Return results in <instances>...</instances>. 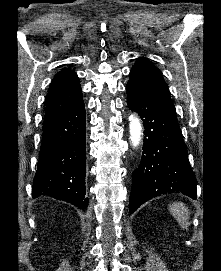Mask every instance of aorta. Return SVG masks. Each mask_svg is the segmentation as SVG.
<instances>
[{
  "label": "aorta",
  "mask_w": 221,
  "mask_h": 271,
  "mask_svg": "<svg viewBox=\"0 0 221 271\" xmlns=\"http://www.w3.org/2000/svg\"><path fill=\"white\" fill-rule=\"evenodd\" d=\"M129 132L132 146L138 147L142 140V124L140 118L135 114L129 117Z\"/></svg>",
  "instance_id": "1"
}]
</instances>
